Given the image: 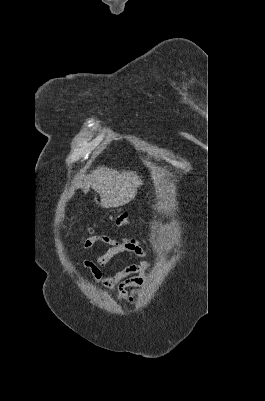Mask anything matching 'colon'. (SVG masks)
Instances as JSON below:
<instances>
[{"label": "colon", "mask_w": 265, "mask_h": 401, "mask_svg": "<svg viewBox=\"0 0 265 401\" xmlns=\"http://www.w3.org/2000/svg\"><path fill=\"white\" fill-rule=\"evenodd\" d=\"M113 220L118 225H126V224L129 223V219H128L127 213L117 214L116 216L113 217ZM85 243H86V240L83 242V244H85Z\"/></svg>", "instance_id": "1"}]
</instances>
